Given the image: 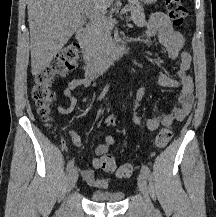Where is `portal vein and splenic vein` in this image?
Listing matches in <instances>:
<instances>
[{
    "label": "portal vein and splenic vein",
    "instance_id": "obj_1",
    "mask_svg": "<svg viewBox=\"0 0 216 217\" xmlns=\"http://www.w3.org/2000/svg\"><path fill=\"white\" fill-rule=\"evenodd\" d=\"M129 11V7L125 6L122 10H121V14H124L126 12ZM80 12L82 14H84L86 17H88L89 19L93 20V21H101L104 19L105 16L101 15L99 12L96 11H92L89 8L86 7H81L80 8Z\"/></svg>",
    "mask_w": 216,
    "mask_h": 217
}]
</instances>
